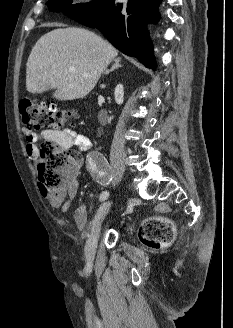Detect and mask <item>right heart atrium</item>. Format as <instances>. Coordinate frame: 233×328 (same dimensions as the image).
<instances>
[{
    "label": "right heart atrium",
    "mask_w": 233,
    "mask_h": 328,
    "mask_svg": "<svg viewBox=\"0 0 233 328\" xmlns=\"http://www.w3.org/2000/svg\"><path fill=\"white\" fill-rule=\"evenodd\" d=\"M77 2H79V3H89V2H91V0H77Z\"/></svg>",
    "instance_id": "right-heart-atrium-1"
}]
</instances>
